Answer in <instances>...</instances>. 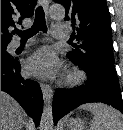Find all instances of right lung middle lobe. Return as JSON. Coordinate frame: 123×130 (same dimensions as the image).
<instances>
[{
	"mask_svg": "<svg viewBox=\"0 0 123 130\" xmlns=\"http://www.w3.org/2000/svg\"><path fill=\"white\" fill-rule=\"evenodd\" d=\"M7 45H8V44H1V55H9V54L6 52Z\"/></svg>",
	"mask_w": 123,
	"mask_h": 130,
	"instance_id": "1",
	"label": "right lung middle lobe"
}]
</instances>
